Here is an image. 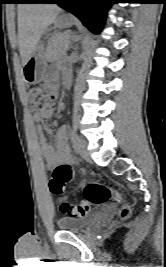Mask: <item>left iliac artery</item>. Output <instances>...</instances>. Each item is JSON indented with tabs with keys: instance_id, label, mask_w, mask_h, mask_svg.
<instances>
[{
	"instance_id": "left-iliac-artery-1",
	"label": "left iliac artery",
	"mask_w": 166,
	"mask_h": 267,
	"mask_svg": "<svg viewBox=\"0 0 166 267\" xmlns=\"http://www.w3.org/2000/svg\"><path fill=\"white\" fill-rule=\"evenodd\" d=\"M77 135L74 131L71 132V140H72V143L74 145V147L76 148V140H77Z\"/></svg>"
}]
</instances>
